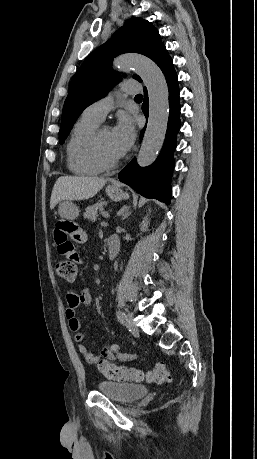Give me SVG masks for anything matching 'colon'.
<instances>
[{
  "mask_svg": "<svg viewBox=\"0 0 257 459\" xmlns=\"http://www.w3.org/2000/svg\"><path fill=\"white\" fill-rule=\"evenodd\" d=\"M55 273L59 278L72 282L77 276V264H70L69 261L61 260L55 265ZM96 364L100 373L105 377L119 381L167 383L171 378L169 369L164 363H157L150 370L117 366L101 358L96 360Z\"/></svg>",
  "mask_w": 257,
  "mask_h": 459,
  "instance_id": "obj_1",
  "label": "colon"
}]
</instances>
